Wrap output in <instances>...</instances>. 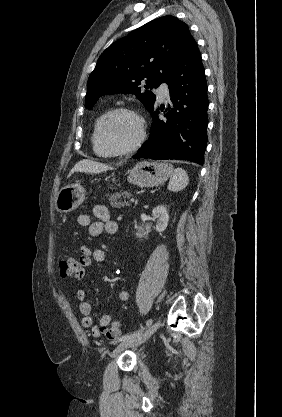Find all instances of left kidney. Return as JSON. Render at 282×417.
<instances>
[{"mask_svg":"<svg viewBox=\"0 0 282 417\" xmlns=\"http://www.w3.org/2000/svg\"><path fill=\"white\" fill-rule=\"evenodd\" d=\"M152 217L157 219L155 227L156 231H158V233L165 231L169 221V215L166 206H163V204L155 206V209L152 211Z\"/></svg>","mask_w":282,"mask_h":417,"instance_id":"1","label":"left kidney"}]
</instances>
